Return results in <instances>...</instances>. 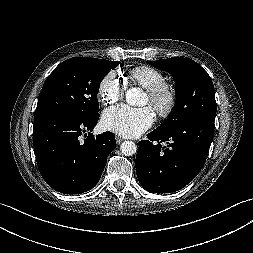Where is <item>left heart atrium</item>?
I'll return each instance as SVG.
<instances>
[{"mask_svg": "<svg viewBox=\"0 0 253 253\" xmlns=\"http://www.w3.org/2000/svg\"><path fill=\"white\" fill-rule=\"evenodd\" d=\"M102 126L124 137H136L146 131L154 122L151 108H134L119 105L103 112Z\"/></svg>", "mask_w": 253, "mask_h": 253, "instance_id": "left-heart-atrium-1", "label": "left heart atrium"}]
</instances>
